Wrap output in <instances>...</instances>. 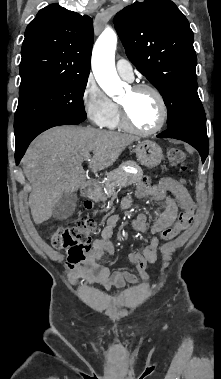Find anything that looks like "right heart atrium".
I'll use <instances>...</instances> for the list:
<instances>
[{"instance_id":"1","label":"right heart atrium","mask_w":221,"mask_h":379,"mask_svg":"<svg viewBox=\"0 0 221 379\" xmlns=\"http://www.w3.org/2000/svg\"><path fill=\"white\" fill-rule=\"evenodd\" d=\"M81 101L88 118L98 126H105L115 111V103L105 94L93 77L86 80Z\"/></svg>"}]
</instances>
